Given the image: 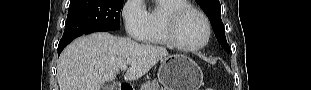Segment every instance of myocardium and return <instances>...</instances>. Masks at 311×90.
<instances>
[{
    "mask_svg": "<svg viewBox=\"0 0 311 90\" xmlns=\"http://www.w3.org/2000/svg\"><path fill=\"white\" fill-rule=\"evenodd\" d=\"M190 12L198 14L204 21L206 28V36L204 40L197 45H185L182 43L178 35V27L182 18ZM164 31L169 45L183 52H194L203 49L209 43L212 34L211 24L206 14L191 5L181 6L168 13L164 18Z\"/></svg>",
    "mask_w": 311,
    "mask_h": 90,
    "instance_id": "obj_1",
    "label": "myocardium"
}]
</instances>
